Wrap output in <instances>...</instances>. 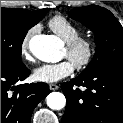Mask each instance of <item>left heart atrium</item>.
<instances>
[{"mask_svg":"<svg viewBox=\"0 0 123 123\" xmlns=\"http://www.w3.org/2000/svg\"><path fill=\"white\" fill-rule=\"evenodd\" d=\"M74 71V64L70 60L59 63L44 64L34 71V78L39 82L54 83L68 77Z\"/></svg>","mask_w":123,"mask_h":123,"instance_id":"39dd6f15","label":"left heart atrium"}]
</instances>
